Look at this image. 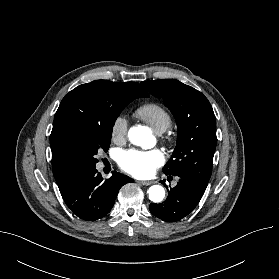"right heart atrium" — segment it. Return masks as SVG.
Segmentation results:
<instances>
[{
    "instance_id": "obj_1",
    "label": "right heart atrium",
    "mask_w": 279,
    "mask_h": 279,
    "mask_svg": "<svg viewBox=\"0 0 279 279\" xmlns=\"http://www.w3.org/2000/svg\"><path fill=\"white\" fill-rule=\"evenodd\" d=\"M128 135V120L122 115L118 114L113 119L110 126V136L113 142L117 144L123 143Z\"/></svg>"
}]
</instances>
